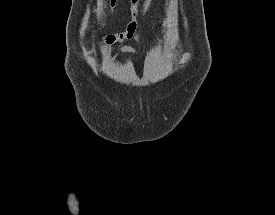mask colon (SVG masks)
<instances>
[{
    "label": "colon",
    "instance_id": "colon-1",
    "mask_svg": "<svg viewBox=\"0 0 275 215\" xmlns=\"http://www.w3.org/2000/svg\"><path fill=\"white\" fill-rule=\"evenodd\" d=\"M134 2H137L138 0H133ZM110 5L114 6L117 2V0H109ZM172 61H178L180 59V54L179 53H175L172 57H170Z\"/></svg>",
    "mask_w": 275,
    "mask_h": 215
}]
</instances>
